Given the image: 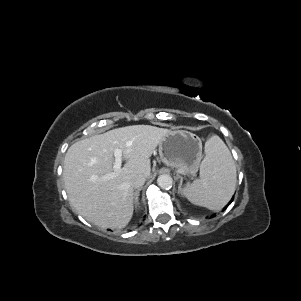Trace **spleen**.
Instances as JSON below:
<instances>
[{
    "label": "spleen",
    "mask_w": 301,
    "mask_h": 301,
    "mask_svg": "<svg viewBox=\"0 0 301 301\" xmlns=\"http://www.w3.org/2000/svg\"><path fill=\"white\" fill-rule=\"evenodd\" d=\"M205 154L200 165V178L188 184L183 194L195 205L220 211L235 191V163L225 143L216 135L205 143Z\"/></svg>",
    "instance_id": "1"
}]
</instances>
